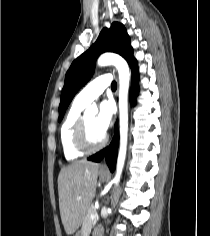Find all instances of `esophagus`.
I'll return each instance as SVG.
<instances>
[{
	"label": "esophagus",
	"mask_w": 210,
	"mask_h": 236,
	"mask_svg": "<svg viewBox=\"0 0 210 236\" xmlns=\"http://www.w3.org/2000/svg\"><path fill=\"white\" fill-rule=\"evenodd\" d=\"M101 170L107 171V165H106L105 161H103L102 164H101Z\"/></svg>",
	"instance_id": "obj_1"
}]
</instances>
